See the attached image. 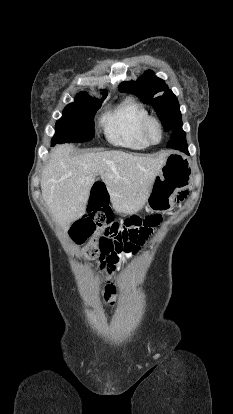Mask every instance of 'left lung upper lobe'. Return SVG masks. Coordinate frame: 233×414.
Masks as SVG:
<instances>
[{
  "instance_id": "left-lung-upper-lobe-1",
  "label": "left lung upper lobe",
  "mask_w": 233,
  "mask_h": 414,
  "mask_svg": "<svg viewBox=\"0 0 233 414\" xmlns=\"http://www.w3.org/2000/svg\"><path fill=\"white\" fill-rule=\"evenodd\" d=\"M119 90L134 93L143 103L152 104L165 130L169 131L181 123L176 96L168 89L164 80L156 77L152 71H146L136 81L122 82Z\"/></svg>"
}]
</instances>
